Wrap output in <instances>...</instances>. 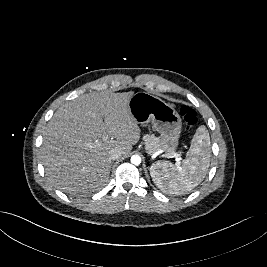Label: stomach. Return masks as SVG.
Instances as JSON below:
<instances>
[{
  "instance_id": "1",
  "label": "stomach",
  "mask_w": 267,
  "mask_h": 267,
  "mask_svg": "<svg viewBox=\"0 0 267 267\" xmlns=\"http://www.w3.org/2000/svg\"><path fill=\"white\" fill-rule=\"evenodd\" d=\"M128 109L138 124L151 121L152 127L160 133V149L167 154L176 150L182 122L171 105L149 93L138 92L129 99Z\"/></svg>"
}]
</instances>
